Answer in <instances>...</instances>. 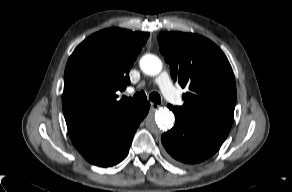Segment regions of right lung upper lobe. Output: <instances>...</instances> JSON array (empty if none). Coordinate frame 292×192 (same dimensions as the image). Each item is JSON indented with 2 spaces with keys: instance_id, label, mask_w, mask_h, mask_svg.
Wrapping results in <instances>:
<instances>
[{
  "instance_id": "obj_1",
  "label": "right lung upper lobe",
  "mask_w": 292,
  "mask_h": 192,
  "mask_svg": "<svg viewBox=\"0 0 292 192\" xmlns=\"http://www.w3.org/2000/svg\"><path fill=\"white\" fill-rule=\"evenodd\" d=\"M149 33L110 28L79 44L64 74L63 113L72 120L105 119L135 107L117 101V90L130 84L129 70Z\"/></svg>"
}]
</instances>
